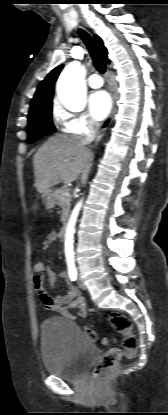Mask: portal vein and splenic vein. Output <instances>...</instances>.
<instances>
[{
    "mask_svg": "<svg viewBox=\"0 0 168 415\" xmlns=\"http://www.w3.org/2000/svg\"><path fill=\"white\" fill-rule=\"evenodd\" d=\"M63 195H65V196H66V195H69V192H68V190H67V191H66V192H65V193H64Z\"/></svg>",
    "mask_w": 168,
    "mask_h": 415,
    "instance_id": "18ae733b",
    "label": "portal vein and splenic vein"
}]
</instances>
